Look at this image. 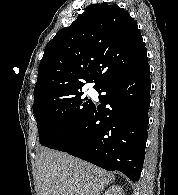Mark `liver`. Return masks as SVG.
Masks as SVG:
<instances>
[{"instance_id":"liver-1","label":"liver","mask_w":178,"mask_h":195,"mask_svg":"<svg viewBox=\"0 0 178 195\" xmlns=\"http://www.w3.org/2000/svg\"><path fill=\"white\" fill-rule=\"evenodd\" d=\"M41 195H99L112 173L69 154L44 149L37 157Z\"/></svg>"}]
</instances>
